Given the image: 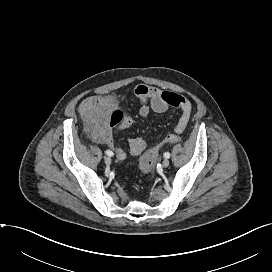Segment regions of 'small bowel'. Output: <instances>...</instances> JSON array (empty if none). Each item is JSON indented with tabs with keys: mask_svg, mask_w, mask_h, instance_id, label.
<instances>
[{
	"mask_svg": "<svg viewBox=\"0 0 272 272\" xmlns=\"http://www.w3.org/2000/svg\"><path fill=\"white\" fill-rule=\"evenodd\" d=\"M134 94L139 100L140 115L147 117L151 111L155 113H164L169 108H177L181 111V115L177 121L175 131L176 133H182L190 119L192 111L191 102L180 94L164 91L159 88L138 84L135 86ZM121 100H124L122 97ZM133 123L131 117L126 116L121 124L112 130H107L102 136H95V140L107 144L116 153V157L119 160H123L126 157L125 151L117 146L114 141V135L121 130L129 128ZM129 149L132 154L139 155L147 147V143L142 138H132L128 142Z\"/></svg>",
	"mask_w": 272,
	"mask_h": 272,
	"instance_id": "small-bowel-1",
	"label": "small bowel"
}]
</instances>
